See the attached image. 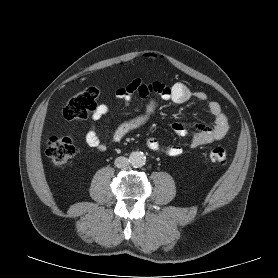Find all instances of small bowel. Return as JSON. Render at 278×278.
I'll return each instance as SVG.
<instances>
[{
  "label": "small bowel",
  "instance_id": "small-bowel-1",
  "mask_svg": "<svg viewBox=\"0 0 278 278\" xmlns=\"http://www.w3.org/2000/svg\"><path fill=\"white\" fill-rule=\"evenodd\" d=\"M117 99L129 105L134 96L146 100V106L143 113L124 121L117 126L112 134L114 142L121 141L130 132L145 125L151 118L157 106L158 99L170 101L175 104H186L192 100L199 102H207V94L203 91H192L185 83L177 82L171 86L161 82L144 83L140 79H135L128 85L120 87L116 90ZM110 108L107 104H99L92 113V124L85 134V141L91 148L98 151H105L106 145L101 142L98 137L95 123L103 119L109 112ZM208 110L213 116V126L199 125L197 131L191 138V146L199 147L215 141L221 140L227 133L229 124L228 118L224 113L220 103L211 101L208 103ZM172 131L178 136H185L189 133V126L183 122H175L171 125ZM147 147L156 152L164 153L171 157L180 156L183 149L177 144H163L154 137L146 138Z\"/></svg>",
  "mask_w": 278,
  "mask_h": 278
}]
</instances>
